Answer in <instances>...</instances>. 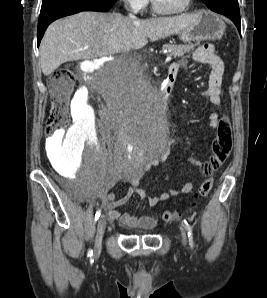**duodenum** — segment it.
<instances>
[{
    "instance_id": "1",
    "label": "duodenum",
    "mask_w": 267,
    "mask_h": 298,
    "mask_svg": "<svg viewBox=\"0 0 267 298\" xmlns=\"http://www.w3.org/2000/svg\"><path fill=\"white\" fill-rule=\"evenodd\" d=\"M175 79H176V72L172 68H169L168 75L165 80L164 86L158 92V95H160L161 98H167V96L169 95V93L173 87ZM164 105H167V101H166V103H164Z\"/></svg>"
}]
</instances>
